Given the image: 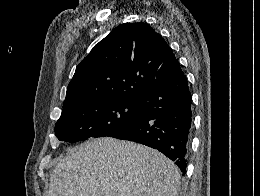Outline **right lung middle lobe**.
Listing matches in <instances>:
<instances>
[{
    "label": "right lung middle lobe",
    "instance_id": "dd1d6c3e",
    "mask_svg": "<svg viewBox=\"0 0 260 196\" xmlns=\"http://www.w3.org/2000/svg\"><path fill=\"white\" fill-rule=\"evenodd\" d=\"M138 99L127 95H104L63 108L55 125L61 141L77 142L110 137L144 118Z\"/></svg>",
    "mask_w": 260,
    "mask_h": 196
}]
</instances>
